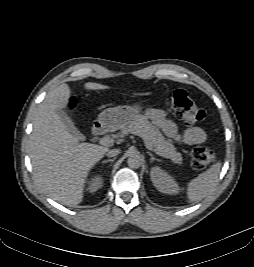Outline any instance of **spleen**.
<instances>
[{
    "label": "spleen",
    "instance_id": "obj_1",
    "mask_svg": "<svg viewBox=\"0 0 254 267\" xmlns=\"http://www.w3.org/2000/svg\"><path fill=\"white\" fill-rule=\"evenodd\" d=\"M220 167L221 163L217 162L188 183L187 196L190 202L202 200L213 191L218 181Z\"/></svg>",
    "mask_w": 254,
    "mask_h": 267
}]
</instances>
